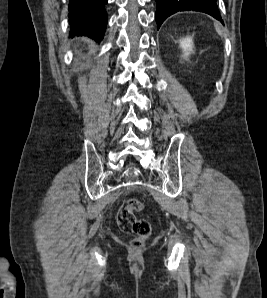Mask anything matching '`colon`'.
<instances>
[{
	"mask_svg": "<svg viewBox=\"0 0 267 298\" xmlns=\"http://www.w3.org/2000/svg\"><path fill=\"white\" fill-rule=\"evenodd\" d=\"M143 209L142 202L137 198L126 200L117 213V224L120 230L126 234L133 235L132 246L141 248L144 240L150 235V223L137 214Z\"/></svg>",
	"mask_w": 267,
	"mask_h": 298,
	"instance_id": "obj_1",
	"label": "colon"
}]
</instances>
